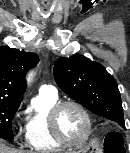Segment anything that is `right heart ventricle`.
<instances>
[{"label":"right heart ventricle","mask_w":130,"mask_h":153,"mask_svg":"<svg viewBox=\"0 0 130 153\" xmlns=\"http://www.w3.org/2000/svg\"><path fill=\"white\" fill-rule=\"evenodd\" d=\"M58 101L57 94L39 93L28 112L25 137L28 146L36 152H52L63 147L53 138L48 125L49 111Z\"/></svg>","instance_id":"e07e8e85"}]
</instances>
